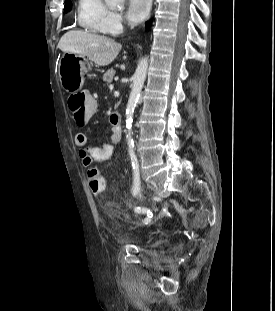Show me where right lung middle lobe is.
<instances>
[{"instance_id":"obj_1","label":"right lung middle lobe","mask_w":275,"mask_h":311,"mask_svg":"<svg viewBox=\"0 0 275 311\" xmlns=\"http://www.w3.org/2000/svg\"><path fill=\"white\" fill-rule=\"evenodd\" d=\"M71 6H72L71 1L70 0H66V4L64 6L65 13H67L68 11L71 10Z\"/></svg>"}]
</instances>
